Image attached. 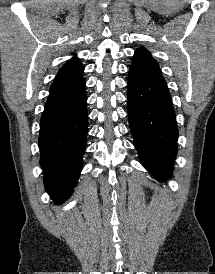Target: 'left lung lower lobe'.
<instances>
[{"instance_id": "1", "label": "left lung lower lobe", "mask_w": 215, "mask_h": 274, "mask_svg": "<svg viewBox=\"0 0 215 274\" xmlns=\"http://www.w3.org/2000/svg\"><path fill=\"white\" fill-rule=\"evenodd\" d=\"M128 117L141 163L160 180L170 175L177 154L178 128L161 74L130 66Z\"/></svg>"}]
</instances>
